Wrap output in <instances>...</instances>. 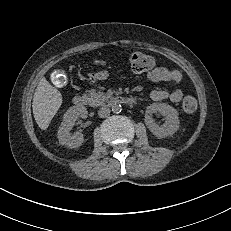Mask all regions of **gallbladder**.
I'll list each match as a JSON object with an SVG mask.
<instances>
[{
  "instance_id": "bac80fb5",
  "label": "gallbladder",
  "mask_w": 231,
  "mask_h": 231,
  "mask_svg": "<svg viewBox=\"0 0 231 231\" xmlns=\"http://www.w3.org/2000/svg\"><path fill=\"white\" fill-rule=\"evenodd\" d=\"M50 81L56 88H63L68 83V76L62 69H55L50 74Z\"/></svg>"
}]
</instances>
